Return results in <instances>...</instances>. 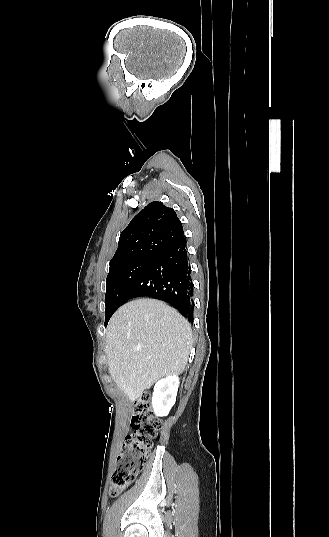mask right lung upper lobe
Returning a JSON list of instances; mask_svg holds the SVG:
<instances>
[{
    "mask_svg": "<svg viewBox=\"0 0 329 537\" xmlns=\"http://www.w3.org/2000/svg\"><path fill=\"white\" fill-rule=\"evenodd\" d=\"M184 237L176 212L162 202H151L121 233L110 270L134 260H154Z\"/></svg>",
    "mask_w": 329,
    "mask_h": 537,
    "instance_id": "1",
    "label": "right lung upper lobe"
}]
</instances>
